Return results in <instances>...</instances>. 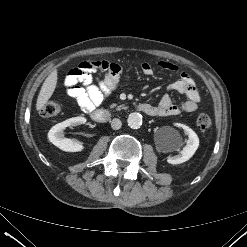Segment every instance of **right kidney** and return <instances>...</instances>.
Instances as JSON below:
<instances>
[{
  "instance_id": "right-kidney-1",
  "label": "right kidney",
  "mask_w": 247,
  "mask_h": 247,
  "mask_svg": "<svg viewBox=\"0 0 247 247\" xmlns=\"http://www.w3.org/2000/svg\"><path fill=\"white\" fill-rule=\"evenodd\" d=\"M85 117H73L53 126L48 132L49 141L59 149L66 152H79L84 149L81 142L64 137L63 131L66 127L85 124Z\"/></svg>"
}]
</instances>
